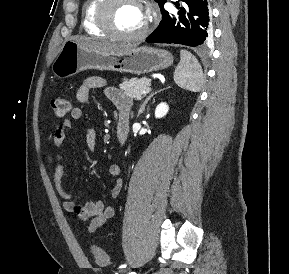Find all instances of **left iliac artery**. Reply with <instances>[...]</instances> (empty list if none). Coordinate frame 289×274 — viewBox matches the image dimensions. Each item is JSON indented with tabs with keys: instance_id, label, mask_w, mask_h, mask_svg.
I'll return each mask as SVG.
<instances>
[{
	"instance_id": "obj_1",
	"label": "left iliac artery",
	"mask_w": 289,
	"mask_h": 274,
	"mask_svg": "<svg viewBox=\"0 0 289 274\" xmlns=\"http://www.w3.org/2000/svg\"><path fill=\"white\" fill-rule=\"evenodd\" d=\"M126 268V264L119 266V269Z\"/></svg>"
}]
</instances>
